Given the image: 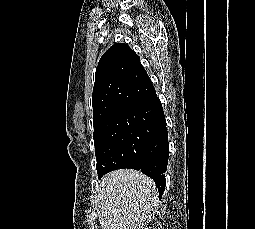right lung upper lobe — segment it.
Returning <instances> with one entry per match:
<instances>
[{
    "label": "right lung upper lobe",
    "mask_w": 255,
    "mask_h": 229,
    "mask_svg": "<svg viewBox=\"0 0 255 229\" xmlns=\"http://www.w3.org/2000/svg\"><path fill=\"white\" fill-rule=\"evenodd\" d=\"M155 94L140 57L125 43L112 45L96 68L92 94L94 130L113 115Z\"/></svg>",
    "instance_id": "1"
}]
</instances>
